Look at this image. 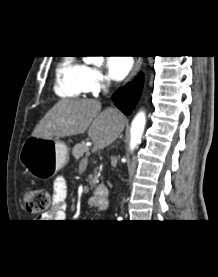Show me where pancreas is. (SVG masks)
Masks as SVG:
<instances>
[{
  "mask_svg": "<svg viewBox=\"0 0 218 277\" xmlns=\"http://www.w3.org/2000/svg\"><path fill=\"white\" fill-rule=\"evenodd\" d=\"M84 153L86 154V157L83 158L82 161L84 159H87V157L90 155L89 148L85 145L84 141L76 144L72 150V154L76 160L83 157ZM97 183H98V178H97V172L95 169L94 176L89 175V184L91 185V188H93L94 186H96Z\"/></svg>",
  "mask_w": 218,
  "mask_h": 277,
  "instance_id": "cf45deb5",
  "label": "pancreas"
}]
</instances>
